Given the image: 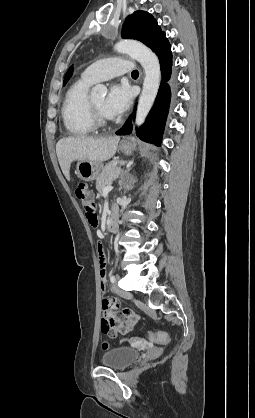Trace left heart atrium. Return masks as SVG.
<instances>
[{"label": "left heart atrium", "instance_id": "1", "mask_svg": "<svg viewBox=\"0 0 255 418\" xmlns=\"http://www.w3.org/2000/svg\"><path fill=\"white\" fill-rule=\"evenodd\" d=\"M131 91L125 84H114L103 102V112L108 118H115L128 109L131 103Z\"/></svg>", "mask_w": 255, "mask_h": 418}]
</instances>
